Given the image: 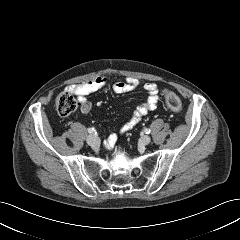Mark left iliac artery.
<instances>
[{"label":"left iliac artery","instance_id":"obj_1","mask_svg":"<svg viewBox=\"0 0 240 240\" xmlns=\"http://www.w3.org/2000/svg\"><path fill=\"white\" fill-rule=\"evenodd\" d=\"M144 132H145L146 134H149V133L151 132V130L148 129V128H145V129H144Z\"/></svg>","mask_w":240,"mask_h":240}]
</instances>
